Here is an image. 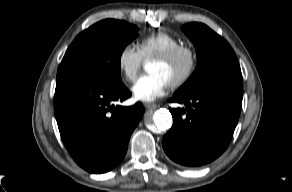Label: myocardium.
<instances>
[{"label":"myocardium","mask_w":292,"mask_h":192,"mask_svg":"<svg viewBox=\"0 0 292 192\" xmlns=\"http://www.w3.org/2000/svg\"><path fill=\"white\" fill-rule=\"evenodd\" d=\"M182 55H185L188 58V64L185 71L178 78L169 83L172 88H179L185 85L195 74L199 61L196 49L191 45L180 44L151 58V60L168 63L175 61Z\"/></svg>","instance_id":"myocardium-1"}]
</instances>
